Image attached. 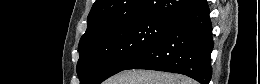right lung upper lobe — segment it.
<instances>
[{
  "label": "right lung upper lobe",
  "mask_w": 260,
  "mask_h": 84,
  "mask_svg": "<svg viewBox=\"0 0 260 84\" xmlns=\"http://www.w3.org/2000/svg\"><path fill=\"white\" fill-rule=\"evenodd\" d=\"M204 0H96L88 15V27L79 45L96 39L119 24L162 18L173 21Z\"/></svg>",
  "instance_id": "cb5924a9"
}]
</instances>
